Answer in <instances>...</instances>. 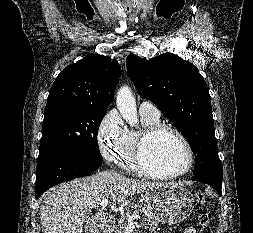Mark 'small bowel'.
I'll return each instance as SVG.
<instances>
[{
	"instance_id": "obj_1",
	"label": "small bowel",
	"mask_w": 253,
	"mask_h": 233,
	"mask_svg": "<svg viewBox=\"0 0 253 233\" xmlns=\"http://www.w3.org/2000/svg\"><path fill=\"white\" fill-rule=\"evenodd\" d=\"M184 233H197V231H196L194 228L189 227V228H187V229L185 230Z\"/></svg>"
}]
</instances>
